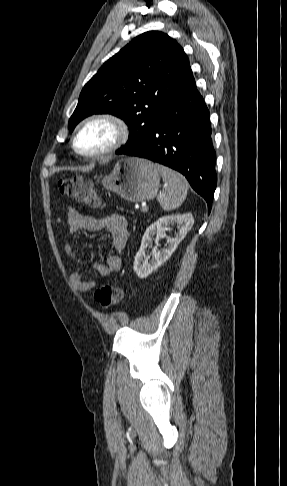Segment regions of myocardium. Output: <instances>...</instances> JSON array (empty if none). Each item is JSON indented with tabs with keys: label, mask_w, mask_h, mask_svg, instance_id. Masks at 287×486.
<instances>
[{
	"label": "myocardium",
	"mask_w": 287,
	"mask_h": 486,
	"mask_svg": "<svg viewBox=\"0 0 287 486\" xmlns=\"http://www.w3.org/2000/svg\"><path fill=\"white\" fill-rule=\"evenodd\" d=\"M98 122L106 123L113 128L114 130L113 141L107 147L98 151H94V152L81 151L77 146L78 136L85 128ZM129 135H130L129 126L125 122V120L120 116L108 112L95 113L87 116L77 125L72 138V147L73 150L82 157L98 158L110 154L116 151L117 149H119L120 147H122L127 142Z\"/></svg>",
	"instance_id": "1"
}]
</instances>
